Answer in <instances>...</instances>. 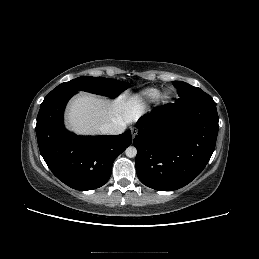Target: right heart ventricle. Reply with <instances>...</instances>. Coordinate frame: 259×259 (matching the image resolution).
I'll return each mask as SVG.
<instances>
[{
    "mask_svg": "<svg viewBox=\"0 0 259 259\" xmlns=\"http://www.w3.org/2000/svg\"><path fill=\"white\" fill-rule=\"evenodd\" d=\"M159 90L156 88H147L138 95L139 101L150 103L157 99Z\"/></svg>",
    "mask_w": 259,
    "mask_h": 259,
    "instance_id": "right-heart-ventricle-1",
    "label": "right heart ventricle"
}]
</instances>
